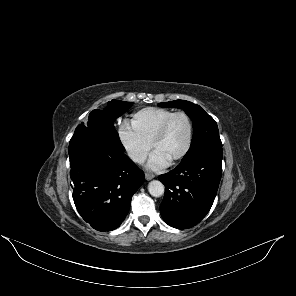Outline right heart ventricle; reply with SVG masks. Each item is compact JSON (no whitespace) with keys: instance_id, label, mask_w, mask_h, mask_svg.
I'll return each instance as SVG.
<instances>
[{"instance_id":"right-heart-ventricle-1","label":"right heart ventricle","mask_w":296,"mask_h":296,"mask_svg":"<svg viewBox=\"0 0 296 296\" xmlns=\"http://www.w3.org/2000/svg\"><path fill=\"white\" fill-rule=\"evenodd\" d=\"M172 113V110L159 107L141 109L133 114L131 127L146 143L151 145L160 125Z\"/></svg>"}]
</instances>
